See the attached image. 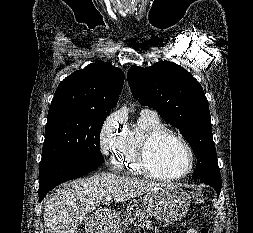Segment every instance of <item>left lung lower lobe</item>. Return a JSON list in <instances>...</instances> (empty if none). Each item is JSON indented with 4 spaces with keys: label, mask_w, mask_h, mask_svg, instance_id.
<instances>
[{
    "label": "left lung lower lobe",
    "mask_w": 253,
    "mask_h": 233,
    "mask_svg": "<svg viewBox=\"0 0 253 233\" xmlns=\"http://www.w3.org/2000/svg\"><path fill=\"white\" fill-rule=\"evenodd\" d=\"M200 181L205 183V184H208V185L212 186L216 190L217 194L218 195L220 194L221 182H216V181L207 180V179H200Z\"/></svg>",
    "instance_id": "1"
}]
</instances>
